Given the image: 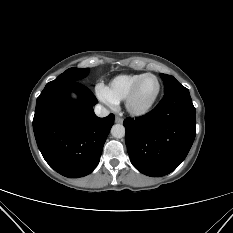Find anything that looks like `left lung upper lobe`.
<instances>
[{"label": "left lung upper lobe", "mask_w": 233, "mask_h": 233, "mask_svg": "<svg viewBox=\"0 0 233 233\" xmlns=\"http://www.w3.org/2000/svg\"><path fill=\"white\" fill-rule=\"evenodd\" d=\"M161 78L163 79L164 82V96L179 92V91H184L188 90L184 86H182L173 76L171 75H166V74H160Z\"/></svg>", "instance_id": "left-lung-upper-lobe-1"}]
</instances>
